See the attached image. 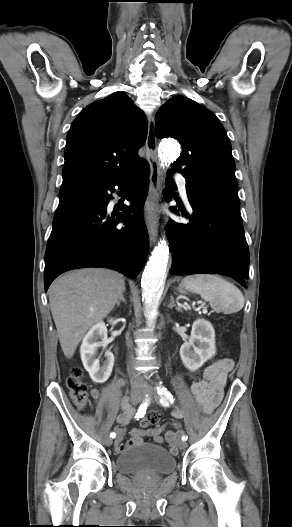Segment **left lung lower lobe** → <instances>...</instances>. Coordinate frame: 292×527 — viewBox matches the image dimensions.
I'll use <instances>...</instances> for the list:
<instances>
[{
	"label": "left lung lower lobe",
	"mask_w": 292,
	"mask_h": 527,
	"mask_svg": "<svg viewBox=\"0 0 292 527\" xmlns=\"http://www.w3.org/2000/svg\"><path fill=\"white\" fill-rule=\"evenodd\" d=\"M172 172H167L164 197L170 201V189L176 188ZM171 186V187H170ZM193 213L188 224L170 220L167 225L173 250L175 275L218 273L234 278L244 286L249 274V250L240 214L239 199L228 195L189 192ZM171 211L178 214L176 207Z\"/></svg>",
	"instance_id": "left-lung-lower-lobe-1"
}]
</instances>
